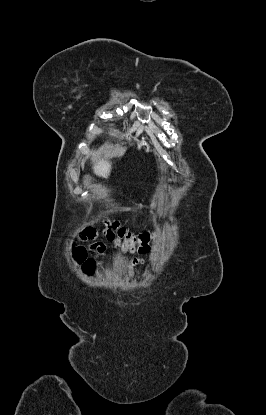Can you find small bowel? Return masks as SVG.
I'll return each instance as SVG.
<instances>
[{
	"label": "small bowel",
	"instance_id": "c3829d8e",
	"mask_svg": "<svg viewBox=\"0 0 266 415\" xmlns=\"http://www.w3.org/2000/svg\"><path fill=\"white\" fill-rule=\"evenodd\" d=\"M90 248L93 251H95L96 253L100 254V255H102L105 252V250H106L105 245L103 243H101V242H97V243L92 244L90 246ZM144 263H145L144 259H134L132 261V265L133 266H136V265H139V264H144Z\"/></svg>",
	"mask_w": 266,
	"mask_h": 415
}]
</instances>
